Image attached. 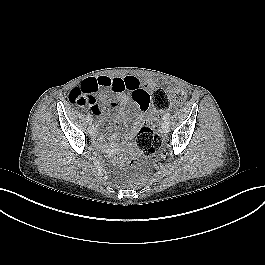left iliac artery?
Wrapping results in <instances>:
<instances>
[{"label": "left iliac artery", "instance_id": "obj_1", "mask_svg": "<svg viewBox=\"0 0 265 265\" xmlns=\"http://www.w3.org/2000/svg\"><path fill=\"white\" fill-rule=\"evenodd\" d=\"M169 117H170V114H169V113H166V114H164V116H163V120H164V121H168V120H169Z\"/></svg>", "mask_w": 265, "mask_h": 265}]
</instances>
